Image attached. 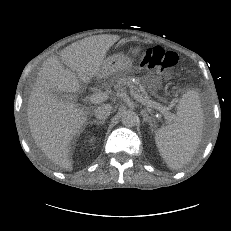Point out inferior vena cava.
<instances>
[{"instance_id":"inferior-vena-cava-1","label":"inferior vena cava","mask_w":231,"mask_h":231,"mask_svg":"<svg viewBox=\"0 0 231 231\" xmlns=\"http://www.w3.org/2000/svg\"><path fill=\"white\" fill-rule=\"evenodd\" d=\"M112 106L110 104H103L94 110L95 117L100 120H105L111 113Z\"/></svg>"}]
</instances>
